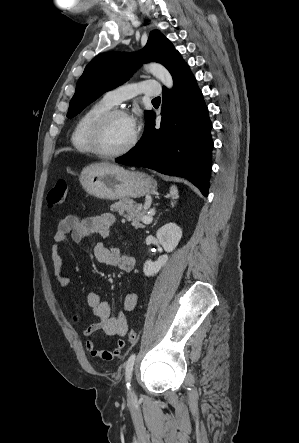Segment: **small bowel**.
Here are the masks:
<instances>
[{"instance_id": "1", "label": "small bowel", "mask_w": 299, "mask_h": 443, "mask_svg": "<svg viewBox=\"0 0 299 443\" xmlns=\"http://www.w3.org/2000/svg\"><path fill=\"white\" fill-rule=\"evenodd\" d=\"M116 225V218L113 214L107 213L100 216L80 218L75 215H69L62 219L57 226L54 234V243L51 249L52 265L54 275L59 287L65 289L70 286V280L65 275L63 258L60 246L69 236L75 242H80L90 235L98 234L101 241L94 247V257L100 262L110 266L118 267L123 271L131 272L136 265V258L129 252H122L117 247L107 246L103 240L108 238L111 229ZM138 302L137 294L128 292L125 294L122 302V308L117 314H111V307L101 296L95 292L87 295V310H90L97 317V321L83 329L86 337L95 332L103 331L109 337H123L128 329L126 313L133 311ZM83 312H78L74 316V321L79 322ZM87 350L94 357L103 360H112L124 348V341L119 339L111 349L98 348L94 341L88 338L85 342Z\"/></svg>"}]
</instances>
